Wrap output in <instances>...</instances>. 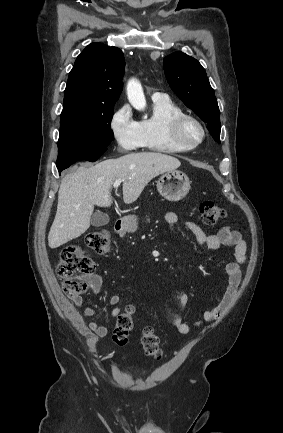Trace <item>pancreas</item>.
Instances as JSON below:
<instances>
[{
  "mask_svg": "<svg viewBox=\"0 0 283 433\" xmlns=\"http://www.w3.org/2000/svg\"><path fill=\"white\" fill-rule=\"evenodd\" d=\"M150 219H146V223H149Z\"/></svg>",
  "mask_w": 283,
  "mask_h": 433,
  "instance_id": "cf45deb5",
  "label": "pancreas"
}]
</instances>
